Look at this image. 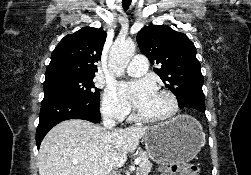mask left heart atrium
<instances>
[{
  "mask_svg": "<svg viewBox=\"0 0 251 175\" xmlns=\"http://www.w3.org/2000/svg\"><path fill=\"white\" fill-rule=\"evenodd\" d=\"M155 83L150 79L123 82L119 86L121 98L138 108L145 110L157 94Z\"/></svg>",
  "mask_w": 251,
  "mask_h": 175,
  "instance_id": "1",
  "label": "left heart atrium"
}]
</instances>
